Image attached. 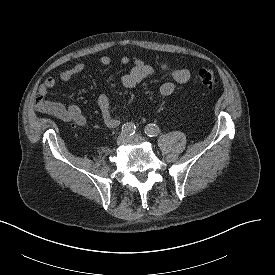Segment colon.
<instances>
[{"label":"colon","instance_id":"obj_1","mask_svg":"<svg viewBox=\"0 0 275 275\" xmlns=\"http://www.w3.org/2000/svg\"><path fill=\"white\" fill-rule=\"evenodd\" d=\"M197 78L199 79L200 83L205 86L206 88H214L217 85V79L215 71L211 68H200L196 72ZM45 99L44 96L38 95L36 98V105L41 111H45Z\"/></svg>","mask_w":275,"mask_h":275}]
</instances>
